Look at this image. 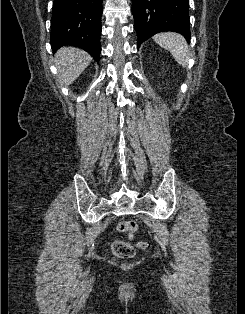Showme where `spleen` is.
Listing matches in <instances>:
<instances>
[{"label": "spleen", "instance_id": "obj_1", "mask_svg": "<svg viewBox=\"0 0 245 314\" xmlns=\"http://www.w3.org/2000/svg\"><path fill=\"white\" fill-rule=\"evenodd\" d=\"M153 39L158 45L169 51L177 63L183 67L188 65L189 47L182 35L174 32H164L156 34Z\"/></svg>", "mask_w": 245, "mask_h": 314}]
</instances>
